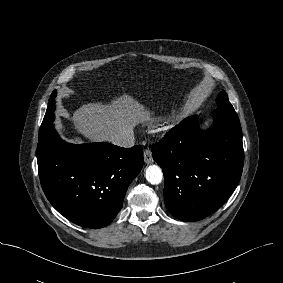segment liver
<instances>
[{
    "mask_svg": "<svg viewBox=\"0 0 283 283\" xmlns=\"http://www.w3.org/2000/svg\"><path fill=\"white\" fill-rule=\"evenodd\" d=\"M69 119L76 131L89 141H110L113 135L152 120L150 112L127 94L108 105L83 104Z\"/></svg>",
    "mask_w": 283,
    "mask_h": 283,
    "instance_id": "obj_1",
    "label": "liver"
}]
</instances>
